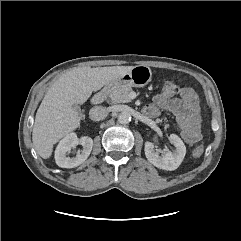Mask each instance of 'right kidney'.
Masks as SVG:
<instances>
[{
  "instance_id": "right-kidney-1",
  "label": "right kidney",
  "mask_w": 241,
  "mask_h": 241,
  "mask_svg": "<svg viewBox=\"0 0 241 241\" xmlns=\"http://www.w3.org/2000/svg\"><path fill=\"white\" fill-rule=\"evenodd\" d=\"M78 144L83 146L82 152L76 157L67 156L68 151ZM92 147V138L83 136L79 139L75 133H69L59 142L55 150L56 164L62 168L77 167L89 157Z\"/></svg>"
}]
</instances>
